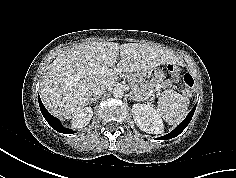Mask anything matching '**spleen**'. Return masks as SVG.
Returning a JSON list of instances; mask_svg holds the SVG:
<instances>
[{
    "instance_id": "spleen-1",
    "label": "spleen",
    "mask_w": 236,
    "mask_h": 178,
    "mask_svg": "<svg viewBox=\"0 0 236 178\" xmlns=\"http://www.w3.org/2000/svg\"><path fill=\"white\" fill-rule=\"evenodd\" d=\"M157 112L170 125L179 124L187 115L189 99L172 89H167L159 97Z\"/></svg>"
}]
</instances>
